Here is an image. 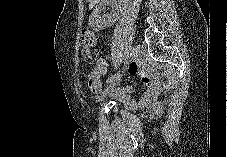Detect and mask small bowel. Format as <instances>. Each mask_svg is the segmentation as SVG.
<instances>
[{"label":"small bowel","mask_w":227,"mask_h":157,"mask_svg":"<svg viewBox=\"0 0 227 157\" xmlns=\"http://www.w3.org/2000/svg\"><path fill=\"white\" fill-rule=\"evenodd\" d=\"M107 70V62L104 59L99 60L91 74V81L88 85L93 93L100 92L101 77L107 73ZM128 72L132 75H136L144 84H146V91L143 93L139 101L131 98L130 94L133 92V88L129 86L115 89L112 92V96L130 110L150 105L158 95V86L153 75L142 69L136 62L129 64Z\"/></svg>","instance_id":"c3829d8e"}]
</instances>
